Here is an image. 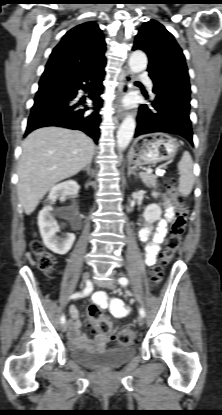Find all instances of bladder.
Masks as SVG:
<instances>
[{
    "mask_svg": "<svg viewBox=\"0 0 222 415\" xmlns=\"http://www.w3.org/2000/svg\"><path fill=\"white\" fill-rule=\"evenodd\" d=\"M136 349L132 346L110 348L99 351H90L79 348H70L69 357L77 364L93 368L121 367L132 360Z\"/></svg>",
    "mask_w": 222,
    "mask_h": 415,
    "instance_id": "31cf9c89",
    "label": "bladder"
}]
</instances>
